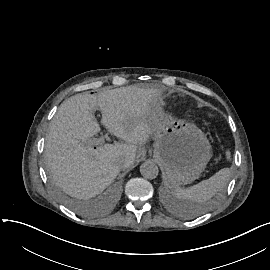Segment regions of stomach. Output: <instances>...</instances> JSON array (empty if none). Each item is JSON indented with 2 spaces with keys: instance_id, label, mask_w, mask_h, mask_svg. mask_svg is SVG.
Returning <instances> with one entry per match:
<instances>
[{
  "instance_id": "stomach-1",
  "label": "stomach",
  "mask_w": 270,
  "mask_h": 270,
  "mask_svg": "<svg viewBox=\"0 0 270 270\" xmlns=\"http://www.w3.org/2000/svg\"><path fill=\"white\" fill-rule=\"evenodd\" d=\"M150 124L154 139L153 155L164 167L167 181L179 186L198 178L212 157L205 133L190 121L164 113L159 106Z\"/></svg>"
}]
</instances>
